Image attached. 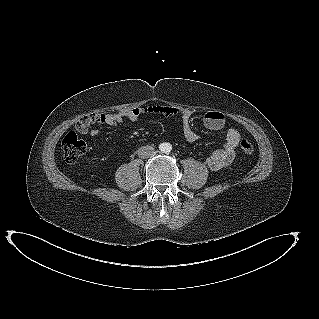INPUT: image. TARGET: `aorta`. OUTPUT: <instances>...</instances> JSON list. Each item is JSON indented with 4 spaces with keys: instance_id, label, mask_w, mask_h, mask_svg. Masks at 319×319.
I'll return each instance as SVG.
<instances>
[{
    "instance_id": "aorta-1",
    "label": "aorta",
    "mask_w": 319,
    "mask_h": 319,
    "mask_svg": "<svg viewBox=\"0 0 319 319\" xmlns=\"http://www.w3.org/2000/svg\"><path fill=\"white\" fill-rule=\"evenodd\" d=\"M171 148L172 147L169 143H163L161 145V151H163V152H170Z\"/></svg>"
}]
</instances>
